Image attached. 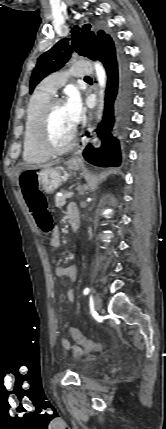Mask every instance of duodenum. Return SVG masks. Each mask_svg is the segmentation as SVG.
Segmentation results:
<instances>
[{"label":"duodenum","instance_id":"410a0bca","mask_svg":"<svg viewBox=\"0 0 166 429\" xmlns=\"http://www.w3.org/2000/svg\"><path fill=\"white\" fill-rule=\"evenodd\" d=\"M69 219H70V225L72 230H77L79 228L80 225V218H79V213L78 211H71L69 213Z\"/></svg>","mask_w":166,"mask_h":429}]
</instances>
